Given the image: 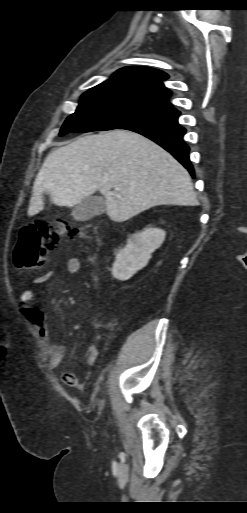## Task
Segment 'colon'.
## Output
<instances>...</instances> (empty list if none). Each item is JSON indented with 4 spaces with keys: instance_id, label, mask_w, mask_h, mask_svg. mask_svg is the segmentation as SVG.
<instances>
[{
    "instance_id": "5ec220e1",
    "label": "colon",
    "mask_w": 247,
    "mask_h": 513,
    "mask_svg": "<svg viewBox=\"0 0 247 513\" xmlns=\"http://www.w3.org/2000/svg\"><path fill=\"white\" fill-rule=\"evenodd\" d=\"M78 229L62 220L37 221L24 225L18 234L13 250V264L17 269L42 266L48 254L63 238L79 236Z\"/></svg>"
}]
</instances>
